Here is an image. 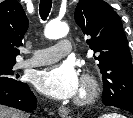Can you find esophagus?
I'll return each instance as SVG.
<instances>
[{
    "instance_id": "esophagus-1",
    "label": "esophagus",
    "mask_w": 133,
    "mask_h": 118,
    "mask_svg": "<svg viewBox=\"0 0 133 118\" xmlns=\"http://www.w3.org/2000/svg\"><path fill=\"white\" fill-rule=\"evenodd\" d=\"M58 113L61 117H65V116L69 115L70 110H69V108H67L65 106H60L58 109Z\"/></svg>"
}]
</instances>
